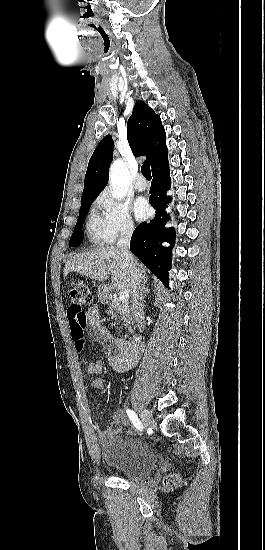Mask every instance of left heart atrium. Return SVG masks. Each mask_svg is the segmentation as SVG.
Returning a JSON list of instances; mask_svg holds the SVG:
<instances>
[{"label": "left heart atrium", "instance_id": "1", "mask_svg": "<svg viewBox=\"0 0 265 550\" xmlns=\"http://www.w3.org/2000/svg\"><path fill=\"white\" fill-rule=\"evenodd\" d=\"M133 210H134L135 217L138 220H144L150 214V207L144 198H139L135 201Z\"/></svg>", "mask_w": 265, "mask_h": 550}]
</instances>
